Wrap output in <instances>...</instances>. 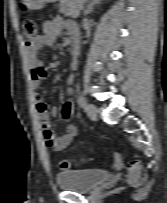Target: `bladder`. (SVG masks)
I'll return each instance as SVG.
<instances>
[{"label":"bladder","mask_w":167,"mask_h":203,"mask_svg":"<svg viewBox=\"0 0 167 203\" xmlns=\"http://www.w3.org/2000/svg\"><path fill=\"white\" fill-rule=\"evenodd\" d=\"M111 173L101 169L64 170L56 174L57 186L68 192L85 193L108 181Z\"/></svg>","instance_id":"obj_1"}]
</instances>
